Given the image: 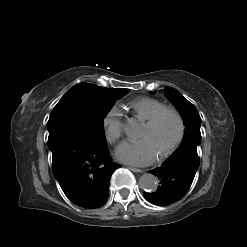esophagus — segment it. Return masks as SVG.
<instances>
[{"instance_id": "obj_1", "label": "esophagus", "mask_w": 247, "mask_h": 247, "mask_svg": "<svg viewBox=\"0 0 247 247\" xmlns=\"http://www.w3.org/2000/svg\"><path fill=\"white\" fill-rule=\"evenodd\" d=\"M131 171L133 172H136V173H139V172H143L142 169H139V168H134V167H128Z\"/></svg>"}]
</instances>
